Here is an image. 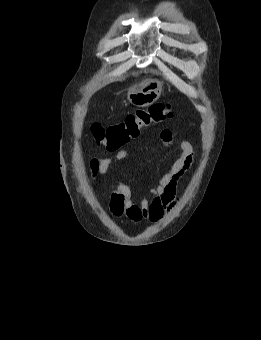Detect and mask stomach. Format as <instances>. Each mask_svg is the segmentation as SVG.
Wrapping results in <instances>:
<instances>
[{"label":"stomach","instance_id":"obj_1","mask_svg":"<svg viewBox=\"0 0 261 340\" xmlns=\"http://www.w3.org/2000/svg\"><path fill=\"white\" fill-rule=\"evenodd\" d=\"M162 83L158 79H147L139 86L129 89L127 99L137 107H146L153 104L160 97Z\"/></svg>","mask_w":261,"mask_h":340}]
</instances>
